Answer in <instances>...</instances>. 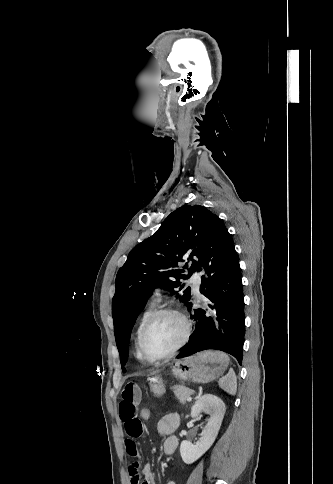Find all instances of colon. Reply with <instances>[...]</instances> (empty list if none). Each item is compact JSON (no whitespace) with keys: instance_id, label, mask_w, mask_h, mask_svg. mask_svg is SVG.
<instances>
[{"instance_id":"colon-1","label":"colon","mask_w":333,"mask_h":484,"mask_svg":"<svg viewBox=\"0 0 333 484\" xmlns=\"http://www.w3.org/2000/svg\"><path fill=\"white\" fill-rule=\"evenodd\" d=\"M152 413L148 408H143L140 411V421L142 423H148L151 420Z\"/></svg>"}]
</instances>
